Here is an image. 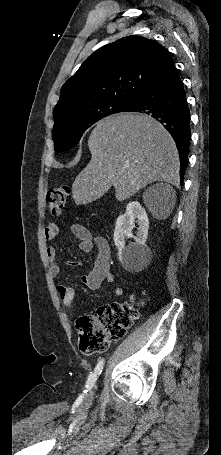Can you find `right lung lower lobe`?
<instances>
[{"mask_svg": "<svg viewBox=\"0 0 221 455\" xmlns=\"http://www.w3.org/2000/svg\"><path fill=\"white\" fill-rule=\"evenodd\" d=\"M124 111L148 114L168 130L178 149L182 184L191 140L190 111L183 84L170 56Z\"/></svg>", "mask_w": 221, "mask_h": 455, "instance_id": "1", "label": "right lung lower lobe"}]
</instances>
